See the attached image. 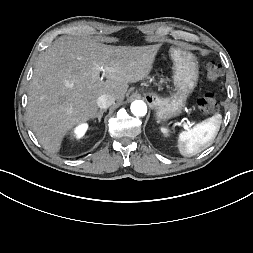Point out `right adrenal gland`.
<instances>
[{"mask_svg": "<svg viewBox=\"0 0 253 253\" xmlns=\"http://www.w3.org/2000/svg\"><path fill=\"white\" fill-rule=\"evenodd\" d=\"M105 111H106V110H100V111H98L97 114L94 116L93 119L98 118V121L100 122V121H101V118H102V116H103V113H104Z\"/></svg>", "mask_w": 253, "mask_h": 253, "instance_id": "obj_1", "label": "right adrenal gland"}]
</instances>
